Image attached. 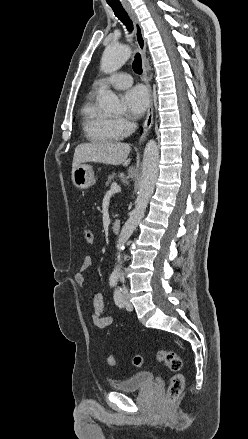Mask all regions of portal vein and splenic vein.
Here are the masks:
<instances>
[{
  "label": "portal vein and splenic vein",
  "mask_w": 248,
  "mask_h": 439,
  "mask_svg": "<svg viewBox=\"0 0 248 439\" xmlns=\"http://www.w3.org/2000/svg\"><path fill=\"white\" fill-rule=\"evenodd\" d=\"M120 191H121V187L117 183H112L110 186V190L107 193L114 194Z\"/></svg>",
  "instance_id": "18ae733b"
}]
</instances>
